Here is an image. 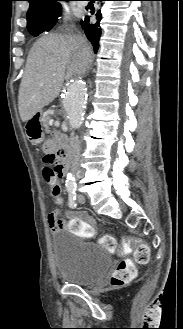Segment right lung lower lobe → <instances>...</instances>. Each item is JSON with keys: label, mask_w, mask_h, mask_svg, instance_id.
I'll return each instance as SVG.
<instances>
[{"label": "right lung lower lobe", "mask_w": 183, "mask_h": 329, "mask_svg": "<svg viewBox=\"0 0 183 329\" xmlns=\"http://www.w3.org/2000/svg\"><path fill=\"white\" fill-rule=\"evenodd\" d=\"M97 1H102V0H97ZM91 11H93L91 9ZM93 13V12H92ZM96 16V21L92 22L90 19V16H86L84 20L81 21V26L83 30L86 33V36L88 39L91 41L94 51L97 52L98 47H99V40L101 37V27H100V21H101V12L98 10L95 14Z\"/></svg>", "instance_id": "right-lung-lower-lobe-1"}]
</instances>
